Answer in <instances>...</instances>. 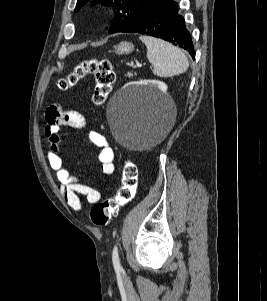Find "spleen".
Here are the masks:
<instances>
[{
	"label": "spleen",
	"instance_id": "1",
	"mask_svg": "<svg viewBox=\"0 0 267 301\" xmlns=\"http://www.w3.org/2000/svg\"><path fill=\"white\" fill-rule=\"evenodd\" d=\"M140 40L147 47V58L156 76L172 77L188 69V59L179 48L154 37L141 36Z\"/></svg>",
	"mask_w": 267,
	"mask_h": 301
}]
</instances>
